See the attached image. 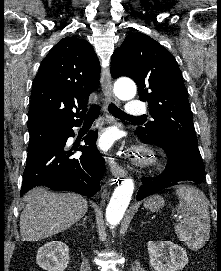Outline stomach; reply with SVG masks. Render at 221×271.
<instances>
[{
  "label": "stomach",
  "mask_w": 221,
  "mask_h": 271,
  "mask_svg": "<svg viewBox=\"0 0 221 271\" xmlns=\"http://www.w3.org/2000/svg\"><path fill=\"white\" fill-rule=\"evenodd\" d=\"M165 201L162 195H151L149 199H147L145 203V207L150 209V211H157V209H161L163 207Z\"/></svg>",
  "instance_id": "stomach-1"
}]
</instances>
